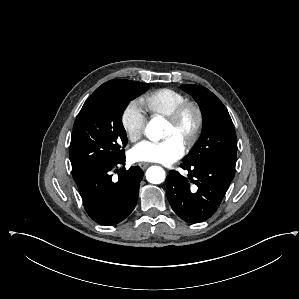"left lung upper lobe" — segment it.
I'll use <instances>...</instances> for the list:
<instances>
[{
  "instance_id": "5c2ea615",
  "label": "left lung upper lobe",
  "mask_w": 299,
  "mask_h": 299,
  "mask_svg": "<svg viewBox=\"0 0 299 299\" xmlns=\"http://www.w3.org/2000/svg\"><path fill=\"white\" fill-rule=\"evenodd\" d=\"M181 88L194 97L203 117L200 139L183 159V163L218 161L235 169L236 133L226 107L216 95L203 86L185 84Z\"/></svg>"
}]
</instances>
